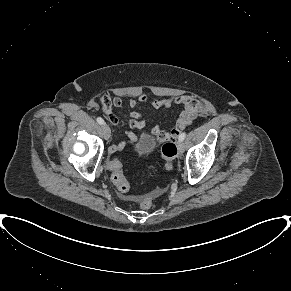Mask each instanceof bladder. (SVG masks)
<instances>
[{"instance_id":"bladder-1","label":"bladder","mask_w":291,"mask_h":291,"mask_svg":"<svg viewBox=\"0 0 291 291\" xmlns=\"http://www.w3.org/2000/svg\"><path fill=\"white\" fill-rule=\"evenodd\" d=\"M157 147L155 138L148 134H143L135 143L134 151L138 156H146L152 153Z\"/></svg>"}]
</instances>
